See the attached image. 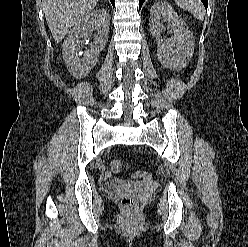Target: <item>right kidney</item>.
<instances>
[{"label":"right kidney","instance_id":"1","mask_svg":"<svg viewBox=\"0 0 248 247\" xmlns=\"http://www.w3.org/2000/svg\"><path fill=\"white\" fill-rule=\"evenodd\" d=\"M110 24V14L105 9L94 10L83 17L69 31L62 45V54L68 71L75 78L88 75L96 65L97 56L107 43ZM95 33L92 35V32ZM93 38L90 50L81 55L84 41Z\"/></svg>","mask_w":248,"mask_h":247}]
</instances>
